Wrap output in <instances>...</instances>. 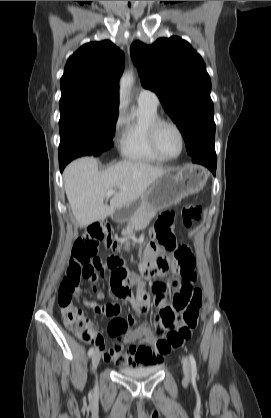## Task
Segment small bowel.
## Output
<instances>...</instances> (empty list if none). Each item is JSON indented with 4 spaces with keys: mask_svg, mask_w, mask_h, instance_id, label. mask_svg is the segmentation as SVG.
<instances>
[{
    "mask_svg": "<svg viewBox=\"0 0 271 418\" xmlns=\"http://www.w3.org/2000/svg\"><path fill=\"white\" fill-rule=\"evenodd\" d=\"M144 260L139 264V271L146 279L150 280L157 276L164 277L169 274L172 269L179 273V266L174 258L162 257L159 254V249L153 243L144 253ZM97 269H103L99 262ZM94 284L98 281V275L95 273L93 278L89 279ZM137 278L131 274L128 267L119 265L114 267L110 272V287L113 295L118 299H110L108 305H93V308L103 317H106L104 325L106 332L110 333L111 339H115V344L108 350H104L103 343L98 345L102 351L105 362H113L121 367H140L146 365L160 364L164 357L169 353L170 349L161 350L157 344L163 340V336L153 334L152 328L148 323H142L137 328L129 330L133 326L131 319H126L122 313V301L128 302L134 311L139 314H146L151 306L150 298L144 289L142 283H139L137 294L134 295L131 291V286L137 283ZM169 283L176 289V294H179L182 287H177V280L171 278ZM193 282L190 283L192 286ZM154 292V303L158 308V315L154 321V329L162 325V313L166 309L175 311L173 305L167 304L166 295L167 284L155 282L152 285ZM93 294L96 298L102 299L104 294L93 288ZM143 340V343L133 344L136 341ZM125 344H131L128 349L124 350Z\"/></svg>",
    "mask_w": 271,
    "mask_h": 418,
    "instance_id": "c3829d8e",
    "label": "small bowel"
}]
</instances>
